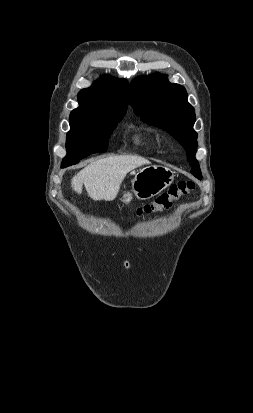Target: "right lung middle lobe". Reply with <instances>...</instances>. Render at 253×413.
Returning <instances> with one entry per match:
<instances>
[{
  "mask_svg": "<svg viewBox=\"0 0 253 413\" xmlns=\"http://www.w3.org/2000/svg\"><path fill=\"white\" fill-rule=\"evenodd\" d=\"M124 115L100 117L90 121L70 122L71 130L67 133V155L63 159L62 168L76 164L86 156L105 152L109 137L117 123Z\"/></svg>",
  "mask_w": 253,
  "mask_h": 413,
  "instance_id": "1",
  "label": "right lung middle lobe"
}]
</instances>
